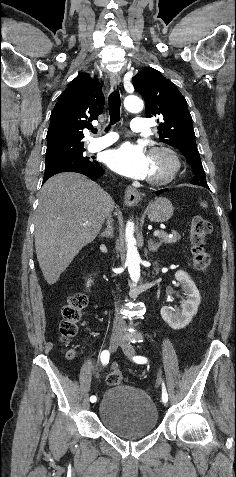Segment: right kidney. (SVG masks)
I'll return each instance as SVG.
<instances>
[{"mask_svg":"<svg viewBox=\"0 0 236 477\" xmlns=\"http://www.w3.org/2000/svg\"><path fill=\"white\" fill-rule=\"evenodd\" d=\"M91 283H93V281L91 279H88L87 281V287L91 286Z\"/></svg>","mask_w":236,"mask_h":477,"instance_id":"ca27d5eb","label":"right kidney"}]
</instances>
